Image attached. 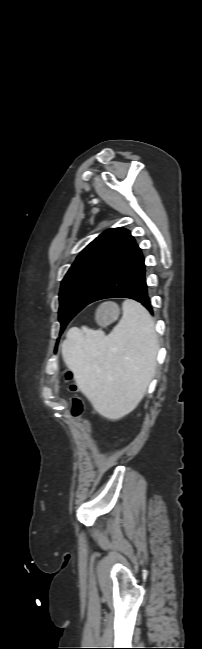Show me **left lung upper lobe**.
<instances>
[{
  "mask_svg": "<svg viewBox=\"0 0 202 649\" xmlns=\"http://www.w3.org/2000/svg\"><path fill=\"white\" fill-rule=\"evenodd\" d=\"M135 243L124 228L104 231L76 258L65 275L59 293L61 332L94 297Z\"/></svg>",
  "mask_w": 202,
  "mask_h": 649,
  "instance_id": "left-lung-upper-lobe-1",
  "label": "left lung upper lobe"
}]
</instances>
